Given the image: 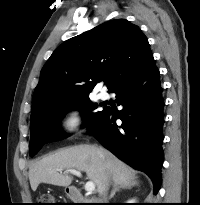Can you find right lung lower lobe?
<instances>
[{
	"instance_id": "obj_1",
	"label": "right lung lower lobe",
	"mask_w": 200,
	"mask_h": 205,
	"mask_svg": "<svg viewBox=\"0 0 200 205\" xmlns=\"http://www.w3.org/2000/svg\"><path fill=\"white\" fill-rule=\"evenodd\" d=\"M159 75L153 59L113 91L124 108H106L89 131L118 158L145 172L154 184V194L160 188L163 163L164 100Z\"/></svg>"
}]
</instances>
